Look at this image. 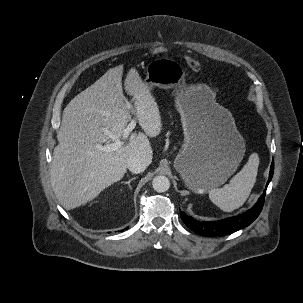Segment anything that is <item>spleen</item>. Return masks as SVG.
Returning a JSON list of instances; mask_svg holds the SVG:
<instances>
[{"mask_svg": "<svg viewBox=\"0 0 303 303\" xmlns=\"http://www.w3.org/2000/svg\"><path fill=\"white\" fill-rule=\"evenodd\" d=\"M259 156L252 153L248 162L229 184L209 191L210 200L225 212H232L241 207L250 195L256 182Z\"/></svg>", "mask_w": 303, "mask_h": 303, "instance_id": "3e777b00", "label": "spleen"}]
</instances>
